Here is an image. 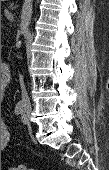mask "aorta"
Segmentation results:
<instances>
[{
    "mask_svg": "<svg viewBox=\"0 0 109 170\" xmlns=\"http://www.w3.org/2000/svg\"><path fill=\"white\" fill-rule=\"evenodd\" d=\"M31 23V14H28L22 22V32L24 36L27 34Z\"/></svg>",
    "mask_w": 109,
    "mask_h": 170,
    "instance_id": "aorta-1",
    "label": "aorta"
}]
</instances>
